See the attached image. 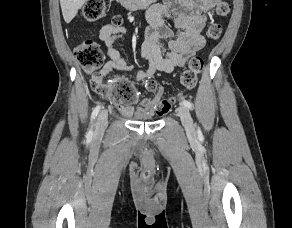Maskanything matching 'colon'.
<instances>
[{
    "label": "colon",
    "mask_w": 292,
    "mask_h": 228,
    "mask_svg": "<svg viewBox=\"0 0 292 228\" xmlns=\"http://www.w3.org/2000/svg\"><path fill=\"white\" fill-rule=\"evenodd\" d=\"M231 11V4L228 0H217L215 13L218 17H226ZM106 13L105 0H88L82 8V17L89 22L98 21L104 17ZM121 18L113 16L110 25H121ZM222 33V27L219 23L211 24L206 36L211 40H217ZM75 56L82 69L92 75L91 86L93 90L109 99L110 101L127 106L130 104L136 94L130 84L123 78H119L114 84L108 85L104 83L103 75L100 69L104 62L102 50L97 42L93 40H85L75 48ZM204 61L201 56L195 55L190 58L187 68L181 74V84L184 88L193 89L198 80V76L202 72ZM176 98L170 97L160 101L157 106V114L163 115L170 111Z\"/></svg>",
    "instance_id": "colon-1"
}]
</instances>
